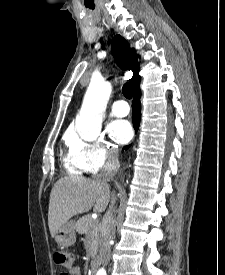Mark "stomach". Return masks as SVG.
<instances>
[{"mask_svg":"<svg viewBox=\"0 0 225 275\" xmlns=\"http://www.w3.org/2000/svg\"><path fill=\"white\" fill-rule=\"evenodd\" d=\"M55 241L61 247H68L76 242V233L73 222H67L56 233Z\"/></svg>","mask_w":225,"mask_h":275,"instance_id":"stomach-1","label":"stomach"}]
</instances>
